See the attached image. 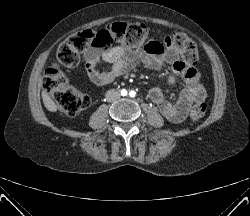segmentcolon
I'll use <instances>...</instances> for the list:
<instances>
[{
  "label": "colon",
  "mask_w": 250,
  "mask_h": 216,
  "mask_svg": "<svg viewBox=\"0 0 250 216\" xmlns=\"http://www.w3.org/2000/svg\"><path fill=\"white\" fill-rule=\"evenodd\" d=\"M148 28L141 23L118 22L100 30H84L67 38L58 48V63L45 70L43 88L52 96L59 110L68 116H75L90 106L91 99L74 89L67 78L68 69L76 66L80 54L88 48H109L119 43L129 48H140L152 41ZM188 65H194L198 59V50L191 37L183 33H171L165 37ZM205 102H197L190 111L193 122L200 121L206 113Z\"/></svg>",
  "instance_id": "colon-1"
}]
</instances>
